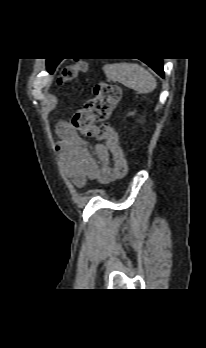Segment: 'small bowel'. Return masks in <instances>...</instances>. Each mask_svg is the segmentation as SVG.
<instances>
[{
  "instance_id": "small-bowel-1",
  "label": "small bowel",
  "mask_w": 206,
  "mask_h": 348,
  "mask_svg": "<svg viewBox=\"0 0 206 348\" xmlns=\"http://www.w3.org/2000/svg\"><path fill=\"white\" fill-rule=\"evenodd\" d=\"M56 130L59 136L57 150L64 173L76 186H84L87 180L109 183L114 179L110 154L105 145L95 144L92 155L86 142L69 123H58Z\"/></svg>"
}]
</instances>
